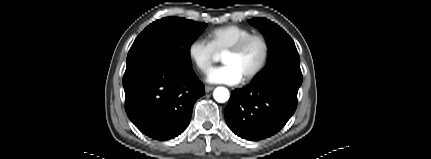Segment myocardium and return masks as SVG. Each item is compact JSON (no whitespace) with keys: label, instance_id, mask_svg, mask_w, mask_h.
Instances as JSON below:
<instances>
[{"label":"myocardium","instance_id":"myocardium-1","mask_svg":"<svg viewBox=\"0 0 431 159\" xmlns=\"http://www.w3.org/2000/svg\"><path fill=\"white\" fill-rule=\"evenodd\" d=\"M254 41H259L261 43L263 48V53L258 66L251 73H249L247 76H245L242 79L244 82H250L255 78H257L267 66L269 56H270V45L267 38L262 34H252L245 37L244 39H242L237 44H235L234 46H232L231 48H229L224 52V54H232V55L241 54Z\"/></svg>","mask_w":431,"mask_h":159}]
</instances>
